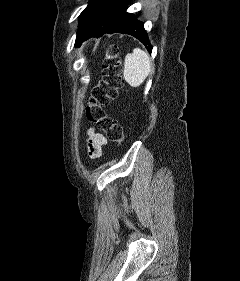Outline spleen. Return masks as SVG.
I'll use <instances>...</instances> for the list:
<instances>
[{"label": "spleen", "instance_id": "spleen-1", "mask_svg": "<svg viewBox=\"0 0 240 281\" xmlns=\"http://www.w3.org/2000/svg\"><path fill=\"white\" fill-rule=\"evenodd\" d=\"M151 63L147 52L135 48L124 60V79L132 87H139L147 78Z\"/></svg>", "mask_w": 240, "mask_h": 281}]
</instances>
